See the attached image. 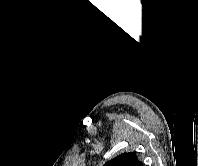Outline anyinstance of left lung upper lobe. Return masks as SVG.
Returning <instances> with one entry per match:
<instances>
[{"label":"left lung upper lobe","mask_w":198,"mask_h":166,"mask_svg":"<svg viewBox=\"0 0 198 166\" xmlns=\"http://www.w3.org/2000/svg\"><path fill=\"white\" fill-rule=\"evenodd\" d=\"M104 166H143V164L138 160L135 152H128L117 156Z\"/></svg>","instance_id":"left-lung-upper-lobe-1"}]
</instances>
